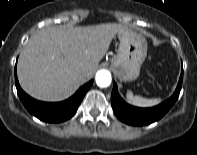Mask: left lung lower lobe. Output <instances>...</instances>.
I'll list each match as a JSON object with an SVG mask.
<instances>
[{"mask_svg":"<svg viewBox=\"0 0 197 155\" xmlns=\"http://www.w3.org/2000/svg\"><path fill=\"white\" fill-rule=\"evenodd\" d=\"M183 68L180 75L179 83L173 95L163 103L151 108H138L127 104L118 94L117 85L111 94V104L116 116L124 123L133 126H143L151 124L162 118L174 105L179 97L182 87Z\"/></svg>","mask_w":197,"mask_h":155,"instance_id":"1","label":"left lung lower lobe"}]
</instances>
